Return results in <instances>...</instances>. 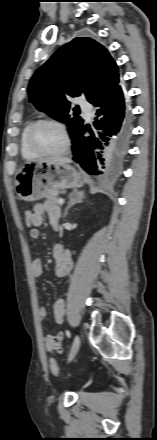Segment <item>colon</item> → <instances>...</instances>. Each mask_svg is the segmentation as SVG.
Here are the masks:
<instances>
[{"instance_id": "colon-1", "label": "colon", "mask_w": 157, "mask_h": 440, "mask_svg": "<svg viewBox=\"0 0 157 440\" xmlns=\"http://www.w3.org/2000/svg\"><path fill=\"white\" fill-rule=\"evenodd\" d=\"M24 222L28 227H33L35 223L34 219V213L31 210H25L24 211ZM57 351H60L61 349H56ZM49 368L51 373L58 377L60 374L59 366L54 358H51L49 361Z\"/></svg>"}]
</instances>
